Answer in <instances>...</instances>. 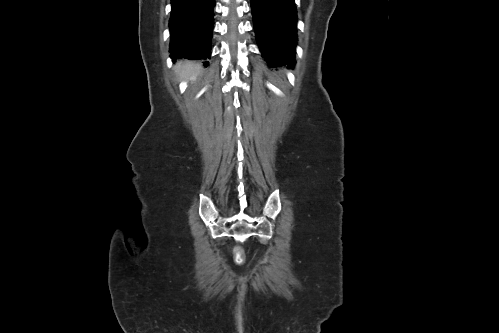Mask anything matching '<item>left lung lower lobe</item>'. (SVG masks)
I'll return each instance as SVG.
<instances>
[{
  "label": "left lung lower lobe",
  "mask_w": 499,
  "mask_h": 333,
  "mask_svg": "<svg viewBox=\"0 0 499 333\" xmlns=\"http://www.w3.org/2000/svg\"><path fill=\"white\" fill-rule=\"evenodd\" d=\"M254 30L272 67L294 64L297 13L294 0H251Z\"/></svg>",
  "instance_id": "0a47b994"
}]
</instances>
